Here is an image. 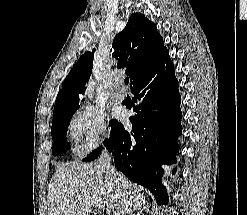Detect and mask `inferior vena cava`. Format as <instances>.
I'll return each mask as SVG.
<instances>
[{
  "label": "inferior vena cava",
  "mask_w": 247,
  "mask_h": 215,
  "mask_svg": "<svg viewBox=\"0 0 247 215\" xmlns=\"http://www.w3.org/2000/svg\"><path fill=\"white\" fill-rule=\"evenodd\" d=\"M99 164L102 166V168L105 170V173L108 175V177L113 181L114 183L119 182V176L114 167L111 166V154L108 152V150L103 149L102 153L99 158ZM125 215V210L120 209L116 215Z\"/></svg>",
  "instance_id": "602c4592"
}]
</instances>
